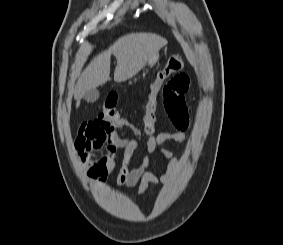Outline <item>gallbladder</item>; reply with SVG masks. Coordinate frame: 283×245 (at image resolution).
<instances>
[{"label":"gallbladder","mask_w":283,"mask_h":245,"mask_svg":"<svg viewBox=\"0 0 283 245\" xmlns=\"http://www.w3.org/2000/svg\"><path fill=\"white\" fill-rule=\"evenodd\" d=\"M83 98L90 103L95 102L98 98H99V91L97 89H90L87 90L84 95Z\"/></svg>","instance_id":"bac80fb5"}]
</instances>
